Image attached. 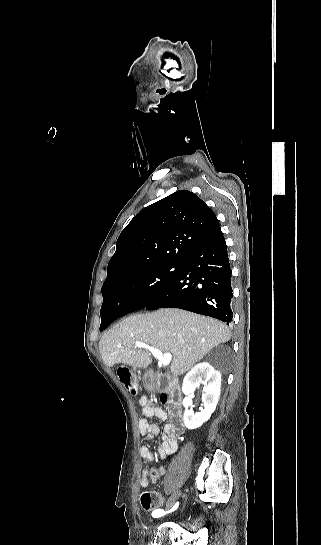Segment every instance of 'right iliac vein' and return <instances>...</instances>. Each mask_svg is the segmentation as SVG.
Returning <instances> with one entry per match:
<instances>
[{
	"label": "right iliac vein",
	"instance_id": "right-iliac-vein-1",
	"mask_svg": "<svg viewBox=\"0 0 321 545\" xmlns=\"http://www.w3.org/2000/svg\"><path fill=\"white\" fill-rule=\"evenodd\" d=\"M180 493H181V491H180L179 489H176V490L172 493V495H171V497H170V499H169V502H168V505H167L166 509L170 508V507L175 503V501H176V500L178 499V497L180 496Z\"/></svg>",
	"mask_w": 321,
	"mask_h": 545
}]
</instances>
